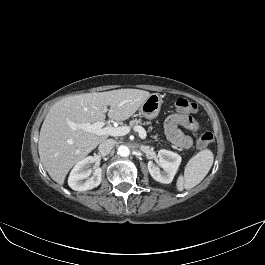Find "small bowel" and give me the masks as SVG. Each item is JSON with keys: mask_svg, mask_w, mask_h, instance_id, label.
<instances>
[{"mask_svg": "<svg viewBox=\"0 0 265 265\" xmlns=\"http://www.w3.org/2000/svg\"><path fill=\"white\" fill-rule=\"evenodd\" d=\"M180 127L196 130L197 121L190 115L176 113L170 115L165 122V132L168 139L177 147L188 149L192 146V138L185 135Z\"/></svg>", "mask_w": 265, "mask_h": 265, "instance_id": "c3829d8e", "label": "small bowel"}]
</instances>
